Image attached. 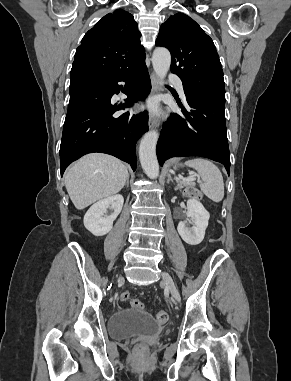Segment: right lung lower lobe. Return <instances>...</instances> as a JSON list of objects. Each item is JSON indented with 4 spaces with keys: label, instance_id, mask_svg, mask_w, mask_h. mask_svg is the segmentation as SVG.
<instances>
[{
    "label": "right lung lower lobe",
    "instance_id": "obj_1",
    "mask_svg": "<svg viewBox=\"0 0 291 381\" xmlns=\"http://www.w3.org/2000/svg\"><path fill=\"white\" fill-rule=\"evenodd\" d=\"M70 101L60 146V170L91 152L113 155L136 169L135 145L148 130L147 112L118 114L150 92L151 81L145 60L112 76L70 73ZM124 81L126 85H119ZM123 91V105L113 104L114 93Z\"/></svg>",
    "mask_w": 291,
    "mask_h": 381
}]
</instances>
